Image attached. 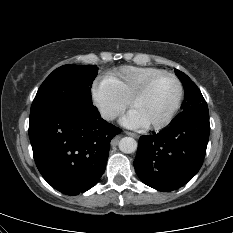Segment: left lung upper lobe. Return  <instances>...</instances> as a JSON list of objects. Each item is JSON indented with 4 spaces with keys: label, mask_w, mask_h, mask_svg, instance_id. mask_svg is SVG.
<instances>
[{
    "label": "left lung upper lobe",
    "mask_w": 233,
    "mask_h": 233,
    "mask_svg": "<svg viewBox=\"0 0 233 233\" xmlns=\"http://www.w3.org/2000/svg\"><path fill=\"white\" fill-rule=\"evenodd\" d=\"M175 74L181 80L184 86L185 97L181 107L183 110L191 106L206 102L199 88L186 74L177 69H175Z\"/></svg>",
    "instance_id": "left-lung-upper-lobe-1"
}]
</instances>
